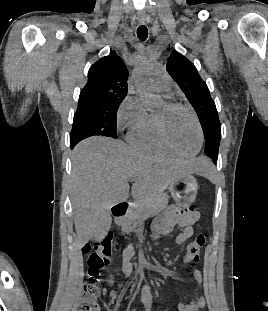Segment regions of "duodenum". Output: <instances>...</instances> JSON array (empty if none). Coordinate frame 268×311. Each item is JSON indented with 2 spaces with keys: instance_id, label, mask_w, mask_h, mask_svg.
Here are the masks:
<instances>
[{
  "instance_id": "410a0bca",
  "label": "duodenum",
  "mask_w": 268,
  "mask_h": 311,
  "mask_svg": "<svg viewBox=\"0 0 268 311\" xmlns=\"http://www.w3.org/2000/svg\"><path fill=\"white\" fill-rule=\"evenodd\" d=\"M129 208L128 202H121L113 207V216L116 221H121Z\"/></svg>"
}]
</instances>
